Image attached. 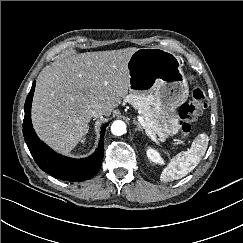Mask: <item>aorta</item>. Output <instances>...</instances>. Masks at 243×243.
Segmentation results:
<instances>
[{
    "label": "aorta",
    "mask_w": 243,
    "mask_h": 243,
    "mask_svg": "<svg viewBox=\"0 0 243 243\" xmlns=\"http://www.w3.org/2000/svg\"><path fill=\"white\" fill-rule=\"evenodd\" d=\"M111 132L116 136H121L126 133V125L123 121H114L111 125Z\"/></svg>",
    "instance_id": "1"
}]
</instances>
